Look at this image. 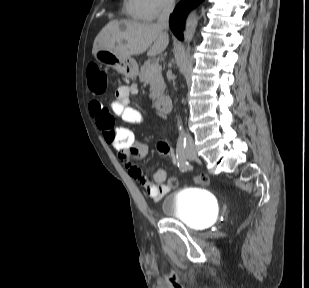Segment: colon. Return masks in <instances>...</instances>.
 <instances>
[{"label":"colon","instance_id":"1","mask_svg":"<svg viewBox=\"0 0 309 288\" xmlns=\"http://www.w3.org/2000/svg\"><path fill=\"white\" fill-rule=\"evenodd\" d=\"M110 78L108 74L97 66L90 67L88 72V84L90 89L95 93H102L108 86ZM194 182L199 186H207L209 178L207 175H200L194 179ZM169 183L175 187L178 185V180L172 177Z\"/></svg>","mask_w":309,"mask_h":288}]
</instances>
